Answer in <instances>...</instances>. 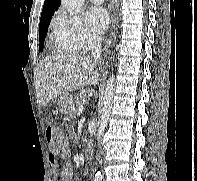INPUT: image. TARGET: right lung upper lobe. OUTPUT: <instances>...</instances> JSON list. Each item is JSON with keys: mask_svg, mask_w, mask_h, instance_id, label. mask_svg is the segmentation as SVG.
<instances>
[{"mask_svg": "<svg viewBox=\"0 0 197 181\" xmlns=\"http://www.w3.org/2000/svg\"><path fill=\"white\" fill-rule=\"evenodd\" d=\"M61 0H45L41 16L54 14L60 6Z\"/></svg>", "mask_w": 197, "mask_h": 181, "instance_id": "right-lung-upper-lobe-1", "label": "right lung upper lobe"}]
</instances>
